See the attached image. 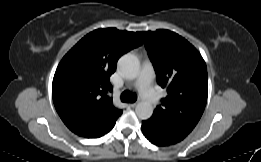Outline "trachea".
Segmentation results:
<instances>
[{"label":"trachea","mask_w":261,"mask_h":162,"mask_svg":"<svg viewBox=\"0 0 261 162\" xmlns=\"http://www.w3.org/2000/svg\"><path fill=\"white\" fill-rule=\"evenodd\" d=\"M137 100V96L134 93H130L128 91H124L121 94V101L133 103Z\"/></svg>","instance_id":"3493384b"}]
</instances>
